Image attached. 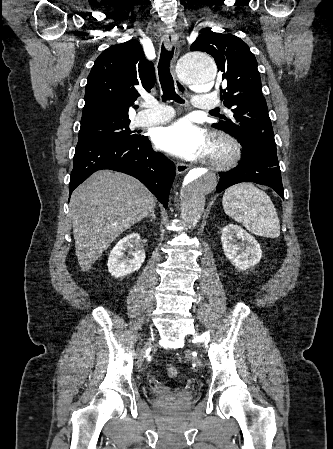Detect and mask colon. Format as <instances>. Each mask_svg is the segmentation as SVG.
Instances as JSON below:
<instances>
[{"label": "colon", "mask_w": 333, "mask_h": 449, "mask_svg": "<svg viewBox=\"0 0 333 449\" xmlns=\"http://www.w3.org/2000/svg\"><path fill=\"white\" fill-rule=\"evenodd\" d=\"M166 375L169 378H175L178 375V370L175 366H168L166 368Z\"/></svg>", "instance_id": "colon-1"}]
</instances>
